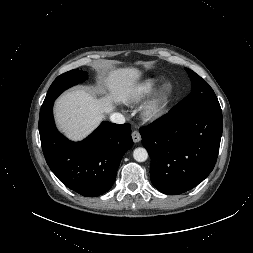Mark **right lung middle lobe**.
I'll return each instance as SVG.
<instances>
[{"label":"right lung middle lobe","instance_id":"obj_1","mask_svg":"<svg viewBox=\"0 0 253 253\" xmlns=\"http://www.w3.org/2000/svg\"><path fill=\"white\" fill-rule=\"evenodd\" d=\"M86 78L87 73L79 69H74L58 76L51 84L43 105L54 101L64 90L83 82Z\"/></svg>","mask_w":253,"mask_h":253}]
</instances>
